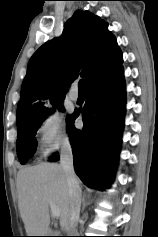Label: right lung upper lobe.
<instances>
[{
    "instance_id": "right-lung-upper-lobe-1",
    "label": "right lung upper lobe",
    "mask_w": 158,
    "mask_h": 237,
    "mask_svg": "<svg viewBox=\"0 0 158 237\" xmlns=\"http://www.w3.org/2000/svg\"><path fill=\"white\" fill-rule=\"evenodd\" d=\"M122 63V53L108 23L78 10L66 22L60 38L43 44L31 57L23 80L17 119L46 109L44 100L62 101L80 75L87 86Z\"/></svg>"
}]
</instances>
